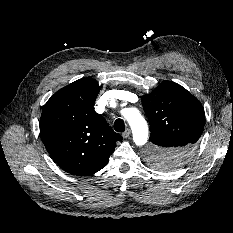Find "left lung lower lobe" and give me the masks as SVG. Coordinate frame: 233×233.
Segmentation results:
<instances>
[{
  "label": "left lung lower lobe",
  "mask_w": 233,
  "mask_h": 233,
  "mask_svg": "<svg viewBox=\"0 0 233 233\" xmlns=\"http://www.w3.org/2000/svg\"><path fill=\"white\" fill-rule=\"evenodd\" d=\"M161 144L166 145L169 149H175L176 147L171 145H178L180 143L177 140H161Z\"/></svg>",
  "instance_id": "left-lung-lower-lobe-1"
}]
</instances>
